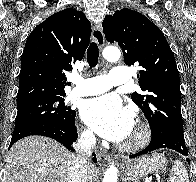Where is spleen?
I'll return each mask as SVG.
<instances>
[{"mask_svg":"<svg viewBox=\"0 0 196 182\" xmlns=\"http://www.w3.org/2000/svg\"><path fill=\"white\" fill-rule=\"evenodd\" d=\"M167 182H189V177L183 163L179 160L174 161Z\"/></svg>","mask_w":196,"mask_h":182,"instance_id":"obj_1","label":"spleen"}]
</instances>
